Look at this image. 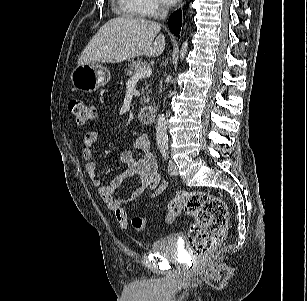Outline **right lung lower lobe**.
<instances>
[{
    "instance_id": "1",
    "label": "right lung lower lobe",
    "mask_w": 307,
    "mask_h": 301,
    "mask_svg": "<svg viewBox=\"0 0 307 301\" xmlns=\"http://www.w3.org/2000/svg\"><path fill=\"white\" fill-rule=\"evenodd\" d=\"M182 25V12L181 10L175 11L168 19V26L170 31L179 36L180 29Z\"/></svg>"
}]
</instances>
